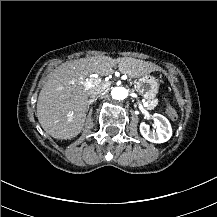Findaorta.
Returning a JSON list of instances; mask_svg holds the SVG:
<instances>
[{
  "instance_id": "762f6f07",
  "label": "aorta",
  "mask_w": 217,
  "mask_h": 217,
  "mask_svg": "<svg viewBox=\"0 0 217 217\" xmlns=\"http://www.w3.org/2000/svg\"><path fill=\"white\" fill-rule=\"evenodd\" d=\"M111 96L116 100H123L128 96V91L124 87H114L111 90Z\"/></svg>"
}]
</instances>
